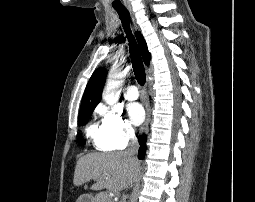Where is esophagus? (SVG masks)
I'll return each instance as SVG.
<instances>
[{
	"label": "esophagus",
	"instance_id": "1",
	"mask_svg": "<svg viewBox=\"0 0 255 202\" xmlns=\"http://www.w3.org/2000/svg\"><path fill=\"white\" fill-rule=\"evenodd\" d=\"M150 120H151V107H150V103H148L147 107H146V119H145V122L141 128V133L148 130Z\"/></svg>",
	"mask_w": 255,
	"mask_h": 202
}]
</instances>
